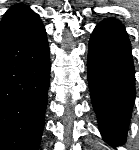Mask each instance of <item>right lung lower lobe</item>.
<instances>
[{
    "label": "right lung lower lobe",
    "mask_w": 139,
    "mask_h": 150,
    "mask_svg": "<svg viewBox=\"0 0 139 150\" xmlns=\"http://www.w3.org/2000/svg\"><path fill=\"white\" fill-rule=\"evenodd\" d=\"M49 77L46 31L29 9L0 26V150H38Z\"/></svg>",
    "instance_id": "1"
}]
</instances>
